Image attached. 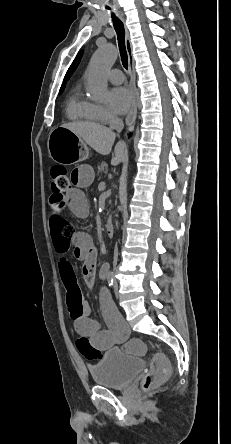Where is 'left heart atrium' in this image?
<instances>
[{
  "mask_svg": "<svg viewBox=\"0 0 231 444\" xmlns=\"http://www.w3.org/2000/svg\"><path fill=\"white\" fill-rule=\"evenodd\" d=\"M108 104L118 114L125 113L132 105V93L125 87H115L108 92Z\"/></svg>",
  "mask_w": 231,
  "mask_h": 444,
  "instance_id": "1",
  "label": "left heart atrium"
}]
</instances>
